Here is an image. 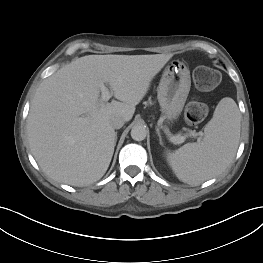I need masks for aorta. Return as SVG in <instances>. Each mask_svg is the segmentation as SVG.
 <instances>
[{"label":"aorta","instance_id":"1","mask_svg":"<svg viewBox=\"0 0 263 263\" xmlns=\"http://www.w3.org/2000/svg\"><path fill=\"white\" fill-rule=\"evenodd\" d=\"M147 136V130L142 125H135L131 130V137L135 141H142Z\"/></svg>","mask_w":263,"mask_h":263}]
</instances>
